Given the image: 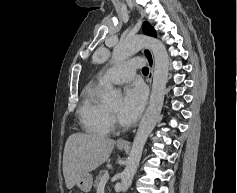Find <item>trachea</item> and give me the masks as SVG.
<instances>
[{
	"mask_svg": "<svg viewBox=\"0 0 237 193\" xmlns=\"http://www.w3.org/2000/svg\"><path fill=\"white\" fill-rule=\"evenodd\" d=\"M142 72H143V74H148L149 73V69L147 67H144Z\"/></svg>",
	"mask_w": 237,
	"mask_h": 193,
	"instance_id": "obj_1",
	"label": "trachea"
}]
</instances>
